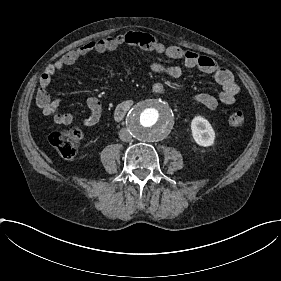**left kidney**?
<instances>
[{
  "label": "left kidney",
  "mask_w": 281,
  "mask_h": 281,
  "mask_svg": "<svg viewBox=\"0 0 281 281\" xmlns=\"http://www.w3.org/2000/svg\"><path fill=\"white\" fill-rule=\"evenodd\" d=\"M192 135L200 146H211L214 143L215 132L210 123L203 117L197 116L191 122Z\"/></svg>",
  "instance_id": "left-kidney-1"
}]
</instances>
